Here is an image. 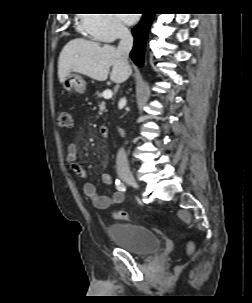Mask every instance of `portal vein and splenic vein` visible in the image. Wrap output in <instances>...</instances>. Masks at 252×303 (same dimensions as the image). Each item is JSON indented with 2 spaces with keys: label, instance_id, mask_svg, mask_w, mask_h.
Here are the masks:
<instances>
[{
  "label": "portal vein and splenic vein",
  "instance_id": "18ae733b",
  "mask_svg": "<svg viewBox=\"0 0 252 303\" xmlns=\"http://www.w3.org/2000/svg\"><path fill=\"white\" fill-rule=\"evenodd\" d=\"M103 98L105 99H110L113 96V93L110 89H106L103 93H102Z\"/></svg>",
  "mask_w": 252,
  "mask_h": 303
}]
</instances>
